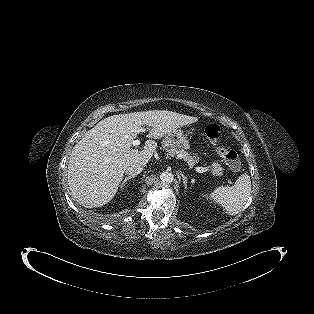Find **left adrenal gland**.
<instances>
[{"label": "left adrenal gland", "instance_id": "1", "mask_svg": "<svg viewBox=\"0 0 314 314\" xmlns=\"http://www.w3.org/2000/svg\"><path fill=\"white\" fill-rule=\"evenodd\" d=\"M181 176H182L184 188L187 190L188 179H187V177L183 173H181Z\"/></svg>", "mask_w": 314, "mask_h": 314}]
</instances>
